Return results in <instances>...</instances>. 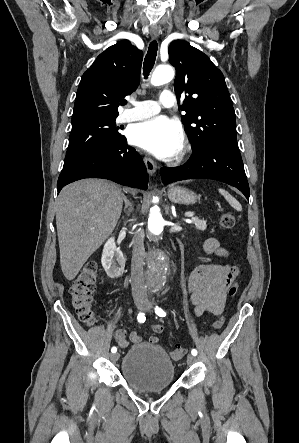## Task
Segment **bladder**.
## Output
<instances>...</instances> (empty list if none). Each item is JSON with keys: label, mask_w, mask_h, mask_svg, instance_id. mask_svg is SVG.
Returning <instances> with one entry per match:
<instances>
[{"label": "bladder", "mask_w": 299, "mask_h": 443, "mask_svg": "<svg viewBox=\"0 0 299 443\" xmlns=\"http://www.w3.org/2000/svg\"><path fill=\"white\" fill-rule=\"evenodd\" d=\"M121 375L135 390H162L173 384L175 365L161 346L140 343L124 355Z\"/></svg>", "instance_id": "1"}]
</instances>
